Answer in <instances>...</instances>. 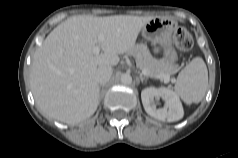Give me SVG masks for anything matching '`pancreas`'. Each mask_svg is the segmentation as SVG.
<instances>
[{"mask_svg": "<svg viewBox=\"0 0 238 158\" xmlns=\"http://www.w3.org/2000/svg\"><path fill=\"white\" fill-rule=\"evenodd\" d=\"M130 55L135 57L137 66L140 69H147L150 77H156L158 75L172 74L173 68L168 63L154 58L146 44L136 45L130 52Z\"/></svg>", "mask_w": 238, "mask_h": 158, "instance_id": "obj_1", "label": "pancreas"}]
</instances>
